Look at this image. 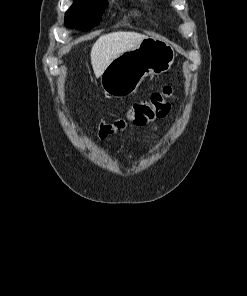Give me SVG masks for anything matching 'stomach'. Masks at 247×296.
<instances>
[{
    "mask_svg": "<svg viewBox=\"0 0 247 296\" xmlns=\"http://www.w3.org/2000/svg\"><path fill=\"white\" fill-rule=\"evenodd\" d=\"M174 58L175 51L168 43L147 37L108 65L100 77L101 86L112 97L131 95L146 76L168 71Z\"/></svg>",
    "mask_w": 247,
    "mask_h": 296,
    "instance_id": "0dacf381",
    "label": "stomach"
}]
</instances>
